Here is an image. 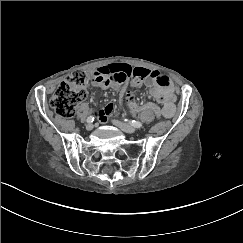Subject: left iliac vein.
I'll return each instance as SVG.
<instances>
[{
	"mask_svg": "<svg viewBox=\"0 0 243 243\" xmlns=\"http://www.w3.org/2000/svg\"><path fill=\"white\" fill-rule=\"evenodd\" d=\"M112 122L115 126L119 127L122 131H124L126 133H135L136 132V129L131 125L122 123L117 120H113Z\"/></svg>",
	"mask_w": 243,
	"mask_h": 243,
	"instance_id": "1",
	"label": "left iliac vein"
}]
</instances>
